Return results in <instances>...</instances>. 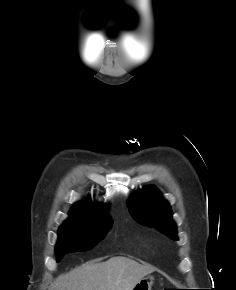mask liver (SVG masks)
<instances>
[{
  "instance_id": "6515ba94",
  "label": "liver",
  "mask_w": 236,
  "mask_h": 290,
  "mask_svg": "<svg viewBox=\"0 0 236 290\" xmlns=\"http://www.w3.org/2000/svg\"><path fill=\"white\" fill-rule=\"evenodd\" d=\"M154 268L127 257H112L102 263H85L59 276L56 290H132Z\"/></svg>"
}]
</instances>
